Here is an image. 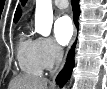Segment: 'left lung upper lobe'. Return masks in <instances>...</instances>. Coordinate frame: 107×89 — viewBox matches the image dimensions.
<instances>
[{"mask_svg": "<svg viewBox=\"0 0 107 89\" xmlns=\"http://www.w3.org/2000/svg\"><path fill=\"white\" fill-rule=\"evenodd\" d=\"M25 2H26V0H22V4H23V5L25 4Z\"/></svg>", "mask_w": 107, "mask_h": 89, "instance_id": "obj_1", "label": "left lung upper lobe"}]
</instances>
